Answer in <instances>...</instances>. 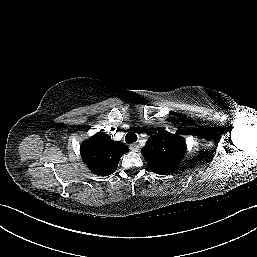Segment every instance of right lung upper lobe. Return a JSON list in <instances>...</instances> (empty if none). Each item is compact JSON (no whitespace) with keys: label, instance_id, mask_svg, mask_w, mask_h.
I'll use <instances>...</instances> for the list:
<instances>
[{"label":"right lung upper lobe","instance_id":"cb5924a9","mask_svg":"<svg viewBox=\"0 0 257 257\" xmlns=\"http://www.w3.org/2000/svg\"><path fill=\"white\" fill-rule=\"evenodd\" d=\"M129 151L128 147L111 137L98 132L81 145V156L87 167L98 176L113 174L121 156Z\"/></svg>","mask_w":257,"mask_h":257}]
</instances>
